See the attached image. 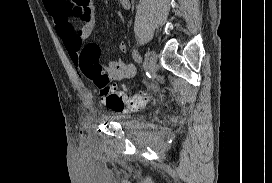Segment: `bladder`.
<instances>
[{
	"label": "bladder",
	"mask_w": 272,
	"mask_h": 183,
	"mask_svg": "<svg viewBox=\"0 0 272 183\" xmlns=\"http://www.w3.org/2000/svg\"><path fill=\"white\" fill-rule=\"evenodd\" d=\"M109 120L111 122H116L119 123L123 126H132L136 123V119L125 115V114H121V113H116L110 116Z\"/></svg>",
	"instance_id": "obj_1"
}]
</instances>
